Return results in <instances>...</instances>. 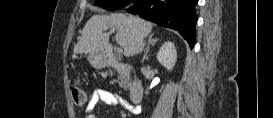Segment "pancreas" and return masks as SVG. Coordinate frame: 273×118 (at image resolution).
I'll return each mask as SVG.
<instances>
[{
  "label": "pancreas",
  "instance_id": "1",
  "mask_svg": "<svg viewBox=\"0 0 273 118\" xmlns=\"http://www.w3.org/2000/svg\"><path fill=\"white\" fill-rule=\"evenodd\" d=\"M118 83L120 87H122L124 90H127L130 87L129 78L125 76L124 74H119Z\"/></svg>",
  "mask_w": 273,
  "mask_h": 118
}]
</instances>
